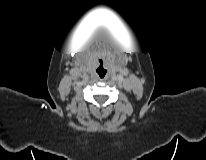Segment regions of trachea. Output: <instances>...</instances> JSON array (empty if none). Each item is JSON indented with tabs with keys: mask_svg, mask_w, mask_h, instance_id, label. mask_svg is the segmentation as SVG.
<instances>
[{
	"mask_svg": "<svg viewBox=\"0 0 206 160\" xmlns=\"http://www.w3.org/2000/svg\"><path fill=\"white\" fill-rule=\"evenodd\" d=\"M98 73H99L100 77L102 78L106 72H103V73L98 72Z\"/></svg>",
	"mask_w": 206,
	"mask_h": 160,
	"instance_id": "3493384b",
	"label": "trachea"
}]
</instances>
